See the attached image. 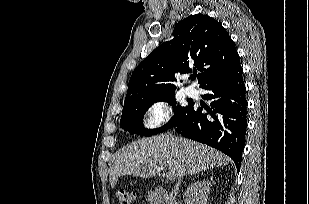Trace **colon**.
I'll use <instances>...</instances> for the list:
<instances>
[{"instance_id":"1","label":"colon","mask_w":309,"mask_h":204,"mask_svg":"<svg viewBox=\"0 0 309 204\" xmlns=\"http://www.w3.org/2000/svg\"><path fill=\"white\" fill-rule=\"evenodd\" d=\"M115 197L119 204H132L135 200V193L130 189H118Z\"/></svg>"}]
</instances>
